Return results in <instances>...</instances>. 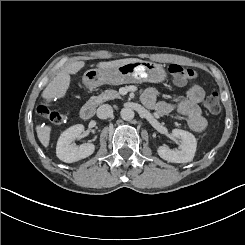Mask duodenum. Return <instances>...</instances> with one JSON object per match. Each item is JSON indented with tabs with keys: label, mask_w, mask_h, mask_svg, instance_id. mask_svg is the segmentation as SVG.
Returning <instances> with one entry per match:
<instances>
[{
	"label": "duodenum",
	"mask_w": 245,
	"mask_h": 245,
	"mask_svg": "<svg viewBox=\"0 0 245 245\" xmlns=\"http://www.w3.org/2000/svg\"><path fill=\"white\" fill-rule=\"evenodd\" d=\"M94 112H95L94 105L92 103H87L81 108L80 115L82 119L89 120L93 117Z\"/></svg>",
	"instance_id": "410a0bca"
}]
</instances>
